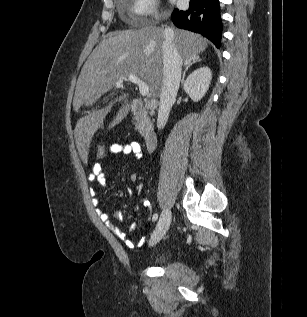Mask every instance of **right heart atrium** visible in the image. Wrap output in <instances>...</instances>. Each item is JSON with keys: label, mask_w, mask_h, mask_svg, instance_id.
I'll use <instances>...</instances> for the list:
<instances>
[{"label": "right heart atrium", "mask_w": 307, "mask_h": 317, "mask_svg": "<svg viewBox=\"0 0 307 317\" xmlns=\"http://www.w3.org/2000/svg\"><path fill=\"white\" fill-rule=\"evenodd\" d=\"M129 13L136 21L142 19H157L159 15L157 0H132Z\"/></svg>", "instance_id": "obj_1"}]
</instances>
